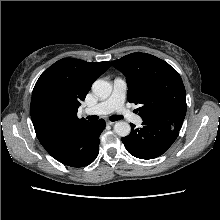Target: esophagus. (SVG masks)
Wrapping results in <instances>:
<instances>
[{"label": "esophagus", "mask_w": 220, "mask_h": 220, "mask_svg": "<svg viewBox=\"0 0 220 220\" xmlns=\"http://www.w3.org/2000/svg\"><path fill=\"white\" fill-rule=\"evenodd\" d=\"M114 123H115L114 121H109V120L106 121V124H107V125H113Z\"/></svg>", "instance_id": "1"}]
</instances>
